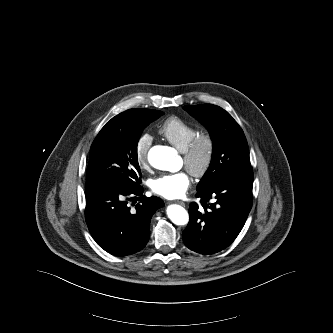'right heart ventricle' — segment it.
<instances>
[{
	"label": "right heart ventricle",
	"instance_id": "right-heart-ventricle-1",
	"mask_svg": "<svg viewBox=\"0 0 333 333\" xmlns=\"http://www.w3.org/2000/svg\"><path fill=\"white\" fill-rule=\"evenodd\" d=\"M158 133L177 149L184 151L198 131L180 117L171 116L161 124Z\"/></svg>",
	"mask_w": 333,
	"mask_h": 333
}]
</instances>
